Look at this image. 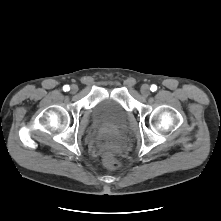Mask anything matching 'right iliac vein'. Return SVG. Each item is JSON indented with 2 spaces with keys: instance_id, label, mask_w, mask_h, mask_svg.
Returning <instances> with one entry per match:
<instances>
[{
  "instance_id": "1",
  "label": "right iliac vein",
  "mask_w": 221,
  "mask_h": 221,
  "mask_svg": "<svg viewBox=\"0 0 221 221\" xmlns=\"http://www.w3.org/2000/svg\"><path fill=\"white\" fill-rule=\"evenodd\" d=\"M70 90H71V93H73V94L77 93V91H78L77 85H72Z\"/></svg>"
}]
</instances>
